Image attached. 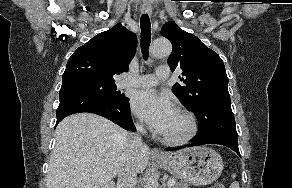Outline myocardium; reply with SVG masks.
<instances>
[{
	"mask_svg": "<svg viewBox=\"0 0 292 188\" xmlns=\"http://www.w3.org/2000/svg\"><path fill=\"white\" fill-rule=\"evenodd\" d=\"M176 111L186 118L189 127L185 133L179 136L166 135L161 136V139L164 143L173 146L182 145L189 142L191 139L195 137V135L198 132V122L195 115L192 112L188 111L185 108H178Z\"/></svg>",
	"mask_w": 292,
	"mask_h": 188,
	"instance_id": "obj_1",
	"label": "myocardium"
}]
</instances>
